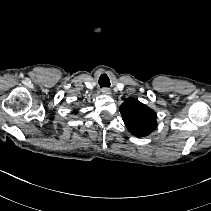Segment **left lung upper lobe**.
<instances>
[{
    "label": "left lung upper lobe",
    "mask_w": 211,
    "mask_h": 211,
    "mask_svg": "<svg viewBox=\"0 0 211 211\" xmlns=\"http://www.w3.org/2000/svg\"><path fill=\"white\" fill-rule=\"evenodd\" d=\"M119 110L125 126L134 136H147L157 127L156 113L136 99H126Z\"/></svg>",
    "instance_id": "1"
}]
</instances>
